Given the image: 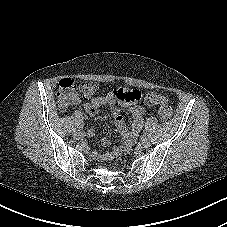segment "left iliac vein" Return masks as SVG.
<instances>
[{"instance_id": "1", "label": "left iliac vein", "mask_w": 227, "mask_h": 227, "mask_svg": "<svg viewBox=\"0 0 227 227\" xmlns=\"http://www.w3.org/2000/svg\"><path fill=\"white\" fill-rule=\"evenodd\" d=\"M150 145H151V142L147 137L142 138L139 142V146L141 148H148Z\"/></svg>"}]
</instances>
